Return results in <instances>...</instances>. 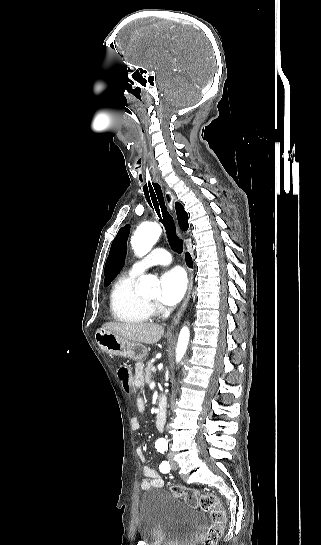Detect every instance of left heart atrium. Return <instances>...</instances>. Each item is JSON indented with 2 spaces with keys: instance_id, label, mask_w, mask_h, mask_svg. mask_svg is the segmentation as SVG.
I'll return each instance as SVG.
<instances>
[{
  "instance_id": "left-heart-atrium-1",
  "label": "left heart atrium",
  "mask_w": 321,
  "mask_h": 545,
  "mask_svg": "<svg viewBox=\"0 0 321 545\" xmlns=\"http://www.w3.org/2000/svg\"><path fill=\"white\" fill-rule=\"evenodd\" d=\"M186 288V277L179 268L165 271L160 276V305L164 309H171L181 300Z\"/></svg>"
}]
</instances>
